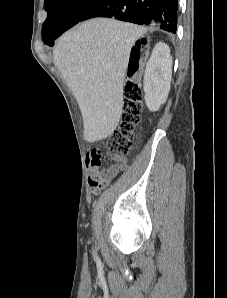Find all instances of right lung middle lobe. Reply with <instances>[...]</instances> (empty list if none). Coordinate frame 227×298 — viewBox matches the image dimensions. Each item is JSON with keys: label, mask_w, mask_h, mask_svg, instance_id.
Here are the masks:
<instances>
[{"label": "right lung middle lobe", "mask_w": 227, "mask_h": 298, "mask_svg": "<svg viewBox=\"0 0 227 298\" xmlns=\"http://www.w3.org/2000/svg\"><path fill=\"white\" fill-rule=\"evenodd\" d=\"M100 0H45L48 13L42 27V38L46 43L55 31H66L85 16Z\"/></svg>", "instance_id": "right-lung-middle-lobe-1"}]
</instances>
